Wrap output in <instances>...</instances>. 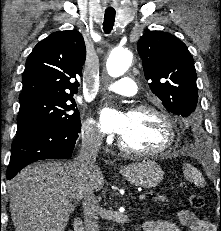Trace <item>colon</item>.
I'll list each match as a JSON object with an SVG mask.
<instances>
[{"instance_id":"1","label":"colon","mask_w":221,"mask_h":231,"mask_svg":"<svg viewBox=\"0 0 221 231\" xmlns=\"http://www.w3.org/2000/svg\"><path fill=\"white\" fill-rule=\"evenodd\" d=\"M189 202L193 208L200 209L204 207V199L199 194H193L189 197Z\"/></svg>"}]
</instances>
